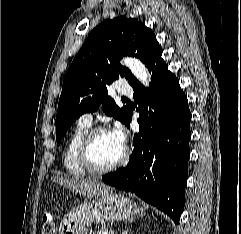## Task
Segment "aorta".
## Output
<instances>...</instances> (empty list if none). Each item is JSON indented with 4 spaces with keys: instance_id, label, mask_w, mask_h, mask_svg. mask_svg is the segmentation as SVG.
Returning a JSON list of instances; mask_svg holds the SVG:
<instances>
[{
    "instance_id": "762f6f07",
    "label": "aorta",
    "mask_w": 241,
    "mask_h": 234,
    "mask_svg": "<svg viewBox=\"0 0 241 234\" xmlns=\"http://www.w3.org/2000/svg\"><path fill=\"white\" fill-rule=\"evenodd\" d=\"M122 64L128 67L141 83L149 84V72L139 59L127 57L122 60Z\"/></svg>"
}]
</instances>
